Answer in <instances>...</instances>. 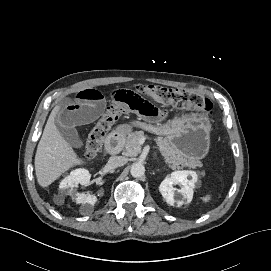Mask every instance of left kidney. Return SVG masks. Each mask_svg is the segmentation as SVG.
<instances>
[{
  "label": "left kidney",
  "mask_w": 271,
  "mask_h": 271,
  "mask_svg": "<svg viewBox=\"0 0 271 271\" xmlns=\"http://www.w3.org/2000/svg\"><path fill=\"white\" fill-rule=\"evenodd\" d=\"M196 182L197 174L195 172L175 171L161 182L159 191L168 204L172 206L176 204L179 207L184 202L192 199ZM173 185H180L181 189L177 192V189Z\"/></svg>",
  "instance_id": "left-kidney-1"
}]
</instances>
